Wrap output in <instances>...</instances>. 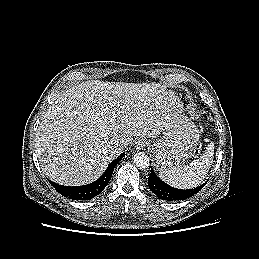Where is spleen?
<instances>
[{
  "label": "spleen",
  "instance_id": "3e777b00",
  "mask_svg": "<svg viewBox=\"0 0 259 259\" xmlns=\"http://www.w3.org/2000/svg\"><path fill=\"white\" fill-rule=\"evenodd\" d=\"M214 143L210 142L202 156L185 165L173 170H162L160 178L167 184L181 189H190L200 185L207 175L214 159Z\"/></svg>",
  "mask_w": 259,
  "mask_h": 259
}]
</instances>
